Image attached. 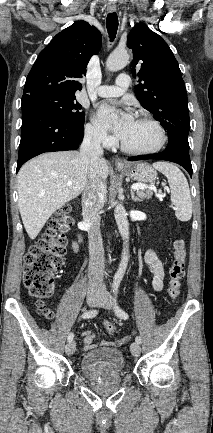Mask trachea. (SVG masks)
Segmentation results:
<instances>
[{
	"mask_svg": "<svg viewBox=\"0 0 213 433\" xmlns=\"http://www.w3.org/2000/svg\"><path fill=\"white\" fill-rule=\"evenodd\" d=\"M106 26L110 37V41L112 42L116 37V33L118 29V17L115 12L109 13L107 15Z\"/></svg>",
	"mask_w": 213,
	"mask_h": 433,
	"instance_id": "obj_1",
	"label": "trachea"
}]
</instances>
